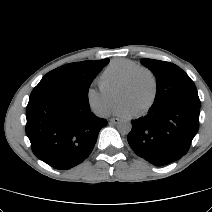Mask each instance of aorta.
<instances>
[{"label":"aorta","mask_w":212,"mask_h":212,"mask_svg":"<svg viewBox=\"0 0 212 212\" xmlns=\"http://www.w3.org/2000/svg\"><path fill=\"white\" fill-rule=\"evenodd\" d=\"M132 129V124L129 121L119 123L118 130L121 134H128Z\"/></svg>","instance_id":"obj_1"}]
</instances>
